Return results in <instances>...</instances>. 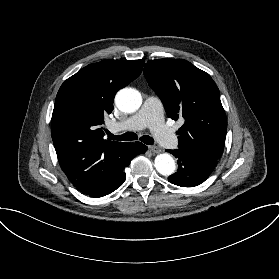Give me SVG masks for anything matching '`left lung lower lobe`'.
Instances as JSON below:
<instances>
[{
  "mask_svg": "<svg viewBox=\"0 0 279 279\" xmlns=\"http://www.w3.org/2000/svg\"><path fill=\"white\" fill-rule=\"evenodd\" d=\"M178 158V170L169 176L170 183L182 187H194L204 182L217 165L218 160L181 148L166 150Z\"/></svg>",
  "mask_w": 279,
  "mask_h": 279,
  "instance_id": "0a47b994",
  "label": "left lung lower lobe"
}]
</instances>
